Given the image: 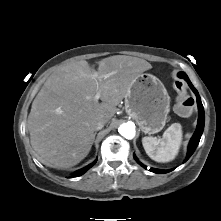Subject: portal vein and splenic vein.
Returning a JSON list of instances; mask_svg holds the SVG:
<instances>
[{"instance_id":"1","label":"portal vein and splenic vein","mask_w":221,"mask_h":221,"mask_svg":"<svg viewBox=\"0 0 221 221\" xmlns=\"http://www.w3.org/2000/svg\"><path fill=\"white\" fill-rule=\"evenodd\" d=\"M106 77H108V76H106ZM98 78L100 79V78H102V77L99 76ZM100 97H101V95H100V93L98 92V93H96V95L94 96V100H95V101H98Z\"/></svg>"}]
</instances>
